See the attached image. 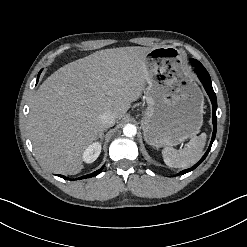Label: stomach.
<instances>
[{
	"label": "stomach",
	"instance_id": "0dacf381",
	"mask_svg": "<svg viewBox=\"0 0 247 247\" xmlns=\"http://www.w3.org/2000/svg\"><path fill=\"white\" fill-rule=\"evenodd\" d=\"M147 109L141 120L145 141L155 147L176 146L195 135L203 123V94L185 71L173 47H156L146 55Z\"/></svg>",
	"mask_w": 247,
	"mask_h": 247
}]
</instances>
